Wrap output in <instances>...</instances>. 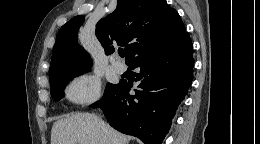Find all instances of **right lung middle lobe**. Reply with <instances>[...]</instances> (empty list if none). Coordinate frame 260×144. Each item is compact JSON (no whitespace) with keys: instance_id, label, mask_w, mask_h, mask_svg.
Here are the masks:
<instances>
[{"instance_id":"right-lung-middle-lobe-1","label":"right lung middle lobe","mask_w":260,"mask_h":144,"mask_svg":"<svg viewBox=\"0 0 260 144\" xmlns=\"http://www.w3.org/2000/svg\"><path fill=\"white\" fill-rule=\"evenodd\" d=\"M90 70V67L61 71L49 76L51 96L59 101L63 96V90L70 80ZM116 84L108 83L105 93L110 91Z\"/></svg>"}]
</instances>
